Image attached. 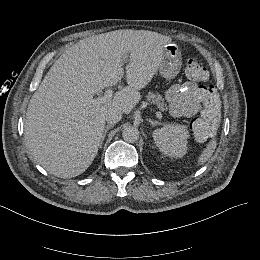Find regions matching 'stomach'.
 <instances>
[{
    "instance_id": "1",
    "label": "stomach",
    "mask_w": 260,
    "mask_h": 260,
    "mask_svg": "<svg viewBox=\"0 0 260 260\" xmlns=\"http://www.w3.org/2000/svg\"><path fill=\"white\" fill-rule=\"evenodd\" d=\"M161 76L167 80L171 81L176 78L180 72L181 58L183 56V51L180 47L175 46L172 42H165L161 46Z\"/></svg>"
}]
</instances>
